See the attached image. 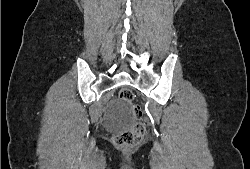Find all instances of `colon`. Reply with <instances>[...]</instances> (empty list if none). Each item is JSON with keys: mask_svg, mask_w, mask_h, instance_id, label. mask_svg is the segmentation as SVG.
<instances>
[{"mask_svg": "<svg viewBox=\"0 0 250 169\" xmlns=\"http://www.w3.org/2000/svg\"><path fill=\"white\" fill-rule=\"evenodd\" d=\"M118 97L122 100L131 103L135 101L132 88H119ZM142 102H133L132 114L135 120H142L144 110H141ZM148 134L146 122H135V126H129L128 130H122V133L117 134L116 138H112L113 146H117L118 150H135L138 143H142V139H146Z\"/></svg>", "mask_w": 250, "mask_h": 169, "instance_id": "obj_1", "label": "colon"}]
</instances>
